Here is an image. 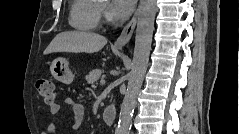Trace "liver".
<instances>
[{"mask_svg": "<svg viewBox=\"0 0 239 134\" xmlns=\"http://www.w3.org/2000/svg\"><path fill=\"white\" fill-rule=\"evenodd\" d=\"M106 44L107 39L104 36L93 32H62L51 41L44 54L54 52L94 53L101 50Z\"/></svg>", "mask_w": 239, "mask_h": 134, "instance_id": "obj_1", "label": "liver"}]
</instances>
